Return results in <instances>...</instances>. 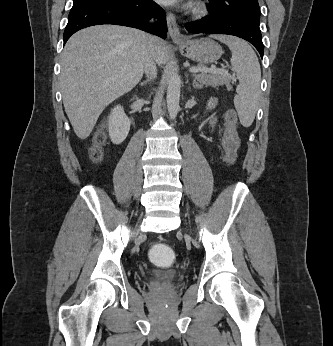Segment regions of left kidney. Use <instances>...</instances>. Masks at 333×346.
Here are the masks:
<instances>
[{
  "label": "left kidney",
  "mask_w": 333,
  "mask_h": 346,
  "mask_svg": "<svg viewBox=\"0 0 333 346\" xmlns=\"http://www.w3.org/2000/svg\"><path fill=\"white\" fill-rule=\"evenodd\" d=\"M211 124H215L216 123V118H213L211 121H210Z\"/></svg>",
  "instance_id": "5707ae66"
}]
</instances>
